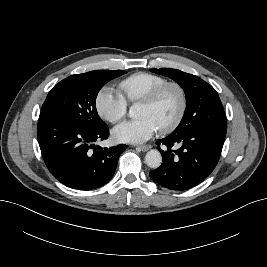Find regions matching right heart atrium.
<instances>
[{
	"label": "right heart atrium",
	"instance_id": "1",
	"mask_svg": "<svg viewBox=\"0 0 267 267\" xmlns=\"http://www.w3.org/2000/svg\"><path fill=\"white\" fill-rule=\"evenodd\" d=\"M95 107L104 120L115 124L121 121L127 113V102L110 87H104L96 95Z\"/></svg>",
	"mask_w": 267,
	"mask_h": 267
}]
</instances>
